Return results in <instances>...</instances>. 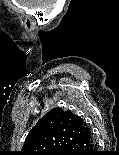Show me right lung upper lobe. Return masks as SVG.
Returning a JSON list of instances; mask_svg holds the SVG:
<instances>
[{
  "label": "right lung upper lobe",
  "instance_id": "obj_1",
  "mask_svg": "<svg viewBox=\"0 0 119 155\" xmlns=\"http://www.w3.org/2000/svg\"><path fill=\"white\" fill-rule=\"evenodd\" d=\"M88 130L78 115L53 108L31 129L19 155H60Z\"/></svg>",
  "mask_w": 119,
  "mask_h": 155
}]
</instances>
